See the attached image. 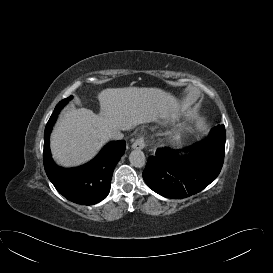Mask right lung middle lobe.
Here are the masks:
<instances>
[{
  "instance_id": "1",
  "label": "right lung middle lobe",
  "mask_w": 273,
  "mask_h": 273,
  "mask_svg": "<svg viewBox=\"0 0 273 273\" xmlns=\"http://www.w3.org/2000/svg\"><path fill=\"white\" fill-rule=\"evenodd\" d=\"M72 97H73V96H70V97H68V98H66V99H64V100H62V101H63L65 104H67V102H68L69 100H71Z\"/></svg>"
}]
</instances>
